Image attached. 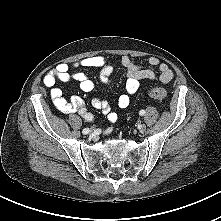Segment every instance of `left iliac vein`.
Listing matches in <instances>:
<instances>
[{
    "mask_svg": "<svg viewBox=\"0 0 221 221\" xmlns=\"http://www.w3.org/2000/svg\"><path fill=\"white\" fill-rule=\"evenodd\" d=\"M146 131V125L145 124H141L139 127V132L140 133H144Z\"/></svg>",
    "mask_w": 221,
    "mask_h": 221,
    "instance_id": "4c4485c4",
    "label": "left iliac vein"
}]
</instances>
